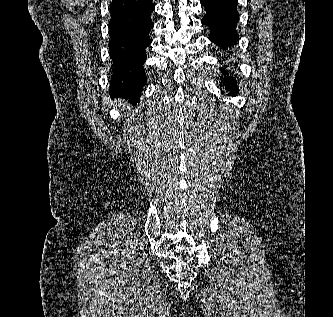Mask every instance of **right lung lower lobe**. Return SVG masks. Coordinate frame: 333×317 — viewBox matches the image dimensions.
Instances as JSON below:
<instances>
[{
    "instance_id": "obj_1",
    "label": "right lung lower lobe",
    "mask_w": 333,
    "mask_h": 317,
    "mask_svg": "<svg viewBox=\"0 0 333 317\" xmlns=\"http://www.w3.org/2000/svg\"><path fill=\"white\" fill-rule=\"evenodd\" d=\"M152 0H112L108 44L113 74L109 93L112 96L139 101L146 75V47L151 44L149 32L154 27L150 16Z\"/></svg>"
}]
</instances>
